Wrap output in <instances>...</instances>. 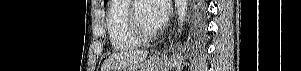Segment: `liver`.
Returning a JSON list of instances; mask_svg holds the SVG:
<instances>
[{
    "label": "liver",
    "instance_id": "obj_1",
    "mask_svg": "<svg viewBox=\"0 0 301 71\" xmlns=\"http://www.w3.org/2000/svg\"><path fill=\"white\" fill-rule=\"evenodd\" d=\"M149 52L145 50H132L113 54L105 60L101 71H118L125 67L141 64L146 60Z\"/></svg>",
    "mask_w": 301,
    "mask_h": 71
}]
</instances>
